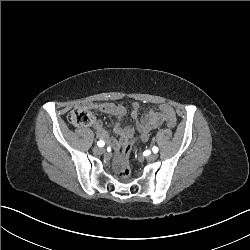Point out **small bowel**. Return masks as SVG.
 <instances>
[{"instance_id":"obj_1","label":"small bowel","mask_w":250,"mask_h":250,"mask_svg":"<svg viewBox=\"0 0 250 250\" xmlns=\"http://www.w3.org/2000/svg\"><path fill=\"white\" fill-rule=\"evenodd\" d=\"M78 108L96 110L101 113L112 115L116 120L115 133L117 139L112 138L109 132L104 128L101 121H94V128L97 137L106 141L114 148H120L125 142L132 139L134 131L122 125V120L126 114V108L123 105H116L109 102H84L78 105ZM131 116L137 122L138 138L145 141L150 132L164 124L167 118L176 120L173 108L167 103H161L158 107L151 109L148 113L142 114L137 103L132 105Z\"/></svg>"}]
</instances>
